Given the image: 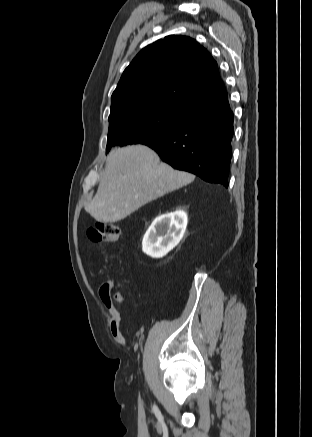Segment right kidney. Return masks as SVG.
Returning <instances> with one entry per match:
<instances>
[{
	"instance_id": "1",
	"label": "right kidney",
	"mask_w": 312,
	"mask_h": 437,
	"mask_svg": "<svg viewBox=\"0 0 312 437\" xmlns=\"http://www.w3.org/2000/svg\"><path fill=\"white\" fill-rule=\"evenodd\" d=\"M187 223V214L181 210L156 218L144 235L143 252L152 258H162L182 240Z\"/></svg>"
}]
</instances>
